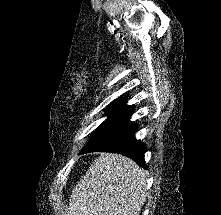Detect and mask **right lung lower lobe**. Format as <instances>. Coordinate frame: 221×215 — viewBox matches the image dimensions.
Wrapping results in <instances>:
<instances>
[{"instance_id":"right-lung-lower-lobe-1","label":"right lung lower lobe","mask_w":221,"mask_h":215,"mask_svg":"<svg viewBox=\"0 0 221 215\" xmlns=\"http://www.w3.org/2000/svg\"><path fill=\"white\" fill-rule=\"evenodd\" d=\"M130 116L122 119L112 129L86 145L81 154L89 152H113L125 155L139 166L147 169L144 161L145 145L135 139L136 123L130 122Z\"/></svg>"}]
</instances>
